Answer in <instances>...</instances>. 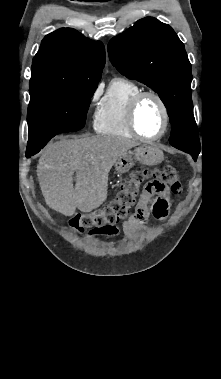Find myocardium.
Masks as SVG:
<instances>
[{"label":"myocardium","instance_id":"obj_1","mask_svg":"<svg viewBox=\"0 0 221 379\" xmlns=\"http://www.w3.org/2000/svg\"><path fill=\"white\" fill-rule=\"evenodd\" d=\"M146 97L154 98L158 102V104L160 105L162 113H163L162 130L160 131L159 134H157L156 136H153V137H147V136L143 135L139 131V129L137 127V123H136V114H137L138 107H139L140 103L142 102V100L145 99ZM127 121H128V125H129L131 132L136 137H138L139 139L144 140V141H156V140H159L160 138H162L165 135V133L167 132L168 127H169V122H170V115H169V110H168V107H167L164 99L157 92L141 91L132 98V100L130 101V103L128 105Z\"/></svg>","mask_w":221,"mask_h":379}]
</instances>
